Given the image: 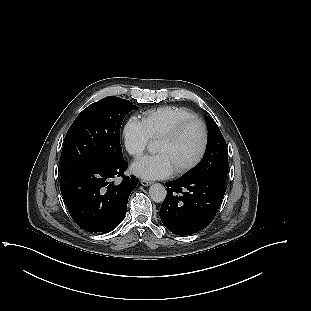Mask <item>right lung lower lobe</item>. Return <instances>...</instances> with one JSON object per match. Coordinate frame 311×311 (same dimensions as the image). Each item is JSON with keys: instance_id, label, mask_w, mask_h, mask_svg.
I'll list each match as a JSON object with an SVG mask.
<instances>
[{"instance_id": "right-lung-lower-lobe-1", "label": "right lung lower lobe", "mask_w": 311, "mask_h": 311, "mask_svg": "<svg viewBox=\"0 0 311 311\" xmlns=\"http://www.w3.org/2000/svg\"><path fill=\"white\" fill-rule=\"evenodd\" d=\"M127 163H87L61 175L60 189L75 223L85 231L108 233L124 219L135 176H124ZM123 177L120 184L111 178Z\"/></svg>"}]
</instances>
